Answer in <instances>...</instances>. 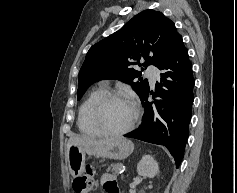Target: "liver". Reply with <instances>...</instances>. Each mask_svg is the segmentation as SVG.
<instances>
[{"instance_id": "1", "label": "liver", "mask_w": 237, "mask_h": 193, "mask_svg": "<svg viewBox=\"0 0 237 193\" xmlns=\"http://www.w3.org/2000/svg\"><path fill=\"white\" fill-rule=\"evenodd\" d=\"M111 138L96 140L88 136H71L67 143L66 159L68 160V149L71 145L77 146H99L109 142Z\"/></svg>"}]
</instances>
